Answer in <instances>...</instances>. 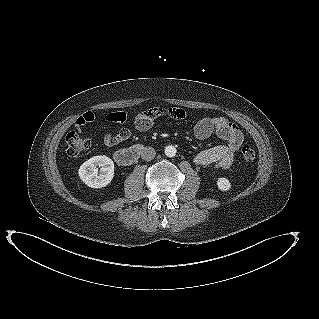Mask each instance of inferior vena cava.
<instances>
[{
	"label": "inferior vena cava",
	"mask_w": 319,
	"mask_h": 319,
	"mask_svg": "<svg viewBox=\"0 0 319 319\" xmlns=\"http://www.w3.org/2000/svg\"><path fill=\"white\" fill-rule=\"evenodd\" d=\"M156 152L152 147H145L141 152V157L145 161H150L154 159Z\"/></svg>",
	"instance_id": "inferior-vena-cava-1"
}]
</instances>
